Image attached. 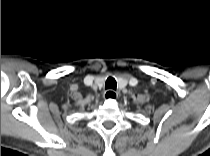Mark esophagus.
<instances>
[{
    "label": "esophagus",
    "mask_w": 210,
    "mask_h": 156,
    "mask_svg": "<svg viewBox=\"0 0 210 156\" xmlns=\"http://www.w3.org/2000/svg\"><path fill=\"white\" fill-rule=\"evenodd\" d=\"M118 97V93L116 91L113 90H107L103 93V98L105 100L107 99H117Z\"/></svg>",
    "instance_id": "esophagus-1"
}]
</instances>
